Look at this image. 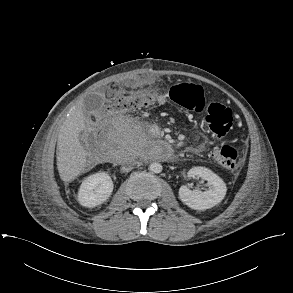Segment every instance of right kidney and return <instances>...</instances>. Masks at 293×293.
<instances>
[{"mask_svg": "<svg viewBox=\"0 0 293 293\" xmlns=\"http://www.w3.org/2000/svg\"><path fill=\"white\" fill-rule=\"evenodd\" d=\"M113 181L105 172H97L88 176L78 191V202L87 208L104 203L113 191Z\"/></svg>", "mask_w": 293, "mask_h": 293, "instance_id": "1", "label": "right kidney"}]
</instances>
